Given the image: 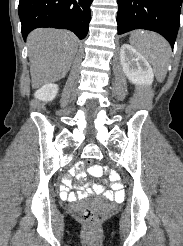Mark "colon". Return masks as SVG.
I'll return each mask as SVG.
<instances>
[{
  "instance_id": "5ec220e1",
  "label": "colon",
  "mask_w": 183,
  "mask_h": 246,
  "mask_svg": "<svg viewBox=\"0 0 183 246\" xmlns=\"http://www.w3.org/2000/svg\"><path fill=\"white\" fill-rule=\"evenodd\" d=\"M82 164L85 165V167H95V162L92 161L91 157H88L87 160H83ZM80 218L87 225L94 226L98 222L99 215L93 209L87 207L81 210Z\"/></svg>"
}]
</instances>
